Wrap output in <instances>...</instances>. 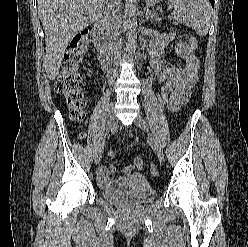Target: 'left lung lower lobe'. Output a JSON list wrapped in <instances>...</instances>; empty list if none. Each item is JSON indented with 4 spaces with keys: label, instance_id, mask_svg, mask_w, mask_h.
Listing matches in <instances>:
<instances>
[{
    "label": "left lung lower lobe",
    "instance_id": "1",
    "mask_svg": "<svg viewBox=\"0 0 248 247\" xmlns=\"http://www.w3.org/2000/svg\"><path fill=\"white\" fill-rule=\"evenodd\" d=\"M211 2L212 7H214V0H209Z\"/></svg>",
    "mask_w": 248,
    "mask_h": 247
}]
</instances>
